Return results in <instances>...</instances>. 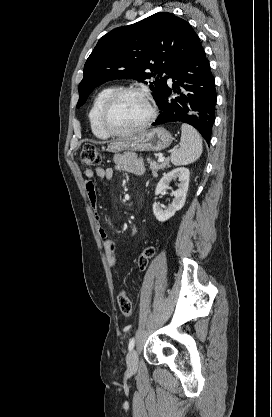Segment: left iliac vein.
Returning <instances> with one entry per match:
<instances>
[{"mask_svg": "<svg viewBox=\"0 0 272 417\" xmlns=\"http://www.w3.org/2000/svg\"><path fill=\"white\" fill-rule=\"evenodd\" d=\"M127 367L128 370L133 372L137 369L138 366V354L136 352V350H131L128 355H127Z\"/></svg>", "mask_w": 272, "mask_h": 417, "instance_id": "4c4485c4", "label": "left iliac vein"}]
</instances>
